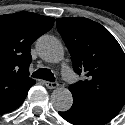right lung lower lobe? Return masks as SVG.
<instances>
[{
    "label": "right lung lower lobe",
    "mask_w": 125,
    "mask_h": 125,
    "mask_svg": "<svg viewBox=\"0 0 125 125\" xmlns=\"http://www.w3.org/2000/svg\"><path fill=\"white\" fill-rule=\"evenodd\" d=\"M22 92H13L0 97V114H4L18 108L25 100L28 90Z\"/></svg>",
    "instance_id": "98d812e1"
}]
</instances>
